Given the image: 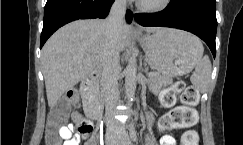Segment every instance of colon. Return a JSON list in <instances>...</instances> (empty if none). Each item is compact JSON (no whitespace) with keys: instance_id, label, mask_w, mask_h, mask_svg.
<instances>
[{"instance_id":"5ec220e1","label":"colon","mask_w":243,"mask_h":145,"mask_svg":"<svg viewBox=\"0 0 243 145\" xmlns=\"http://www.w3.org/2000/svg\"><path fill=\"white\" fill-rule=\"evenodd\" d=\"M177 94H181L182 105L164 114L159 120V128L161 130L188 129L182 137V145H198V134L190 129L197 121V113L194 106L199 98L198 91L195 87L187 86L184 81L178 80L162 94V105L171 107L175 103ZM75 101L76 95L74 91H69L56 103L49 113L45 135L47 145H62L60 130L65 126L71 105ZM76 127L78 132L82 134L89 133L92 130L91 124L82 117L76 119Z\"/></svg>"}]
</instances>
